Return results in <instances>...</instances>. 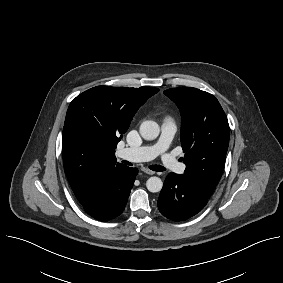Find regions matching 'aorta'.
<instances>
[{"instance_id":"762f6f07","label":"aorta","mask_w":283,"mask_h":283,"mask_svg":"<svg viewBox=\"0 0 283 283\" xmlns=\"http://www.w3.org/2000/svg\"><path fill=\"white\" fill-rule=\"evenodd\" d=\"M159 125L151 120L144 121L140 125V134L145 140H154L159 136ZM147 189L152 192H160L163 187V182L159 177H150L146 182Z\"/></svg>"}]
</instances>
